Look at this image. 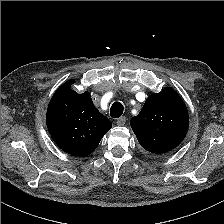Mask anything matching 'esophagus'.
<instances>
[{
    "label": "esophagus",
    "instance_id": "obj_1",
    "mask_svg": "<svg viewBox=\"0 0 224 224\" xmlns=\"http://www.w3.org/2000/svg\"><path fill=\"white\" fill-rule=\"evenodd\" d=\"M116 123L118 126H123L126 123V117L122 116V117L118 118Z\"/></svg>",
    "mask_w": 224,
    "mask_h": 224
}]
</instances>
